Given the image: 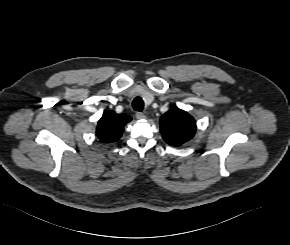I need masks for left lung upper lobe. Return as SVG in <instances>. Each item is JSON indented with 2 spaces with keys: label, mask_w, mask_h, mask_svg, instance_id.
<instances>
[{
  "label": "left lung upper lobe",
  "mask_w": 290,
  "mask_h": 245,
  "mask_svg": "<svg viewBox=\"0 0 290 245\" xmlns=\"http://www.w3.org/2000/svg\"><path fill=\"white\" fill-rule=\"evenodd\" d=\"M160 130L168 144L179 146L194 136L196 124L186 111L173 107L160 118Z\"/></svg>",
  "instance_id": "5c2ea615"
}]
</instances>
